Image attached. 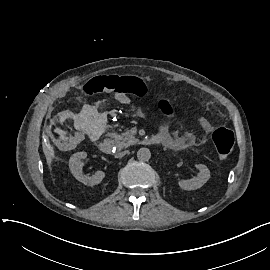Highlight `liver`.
<instances>
[{
	"instance_id": "6515ba94",
	"label": "liver",
	"mask_w": 270,
	"mask_h": 270,
	"mask_svg": "<svg viewBox=\"0 0 270 270\" xmlns=\"http://www.w3.org/2000/svg\"><path fill=\"white\" fill-rule=\"evenodd\" d=\"M43 152L46 156L47 164L50 166L52 158L54 157V150L50 146H43Z\"/></svg>"
}]
</instances>
